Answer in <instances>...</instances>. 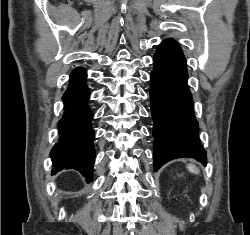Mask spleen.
Returning <instances> with one entry per match:
<instances>
[{"label": "spleen", "instance_id": "spleen-1", "mask_svg": "<svg viewBox=\"0 0 250 235\" xmlns=\"http://www.w3.org/2000/svg\"><path fill=\"white\" fill-rule=\"evenodd\" d=\"M187 168H188V170H189L190 172H192V173H194V174H198V173H199V169L196 168V166L193 165V164H189V165L187 166Z\"/></svg>", "mask_w": 250, "mask_h": 235}]
</instances>
